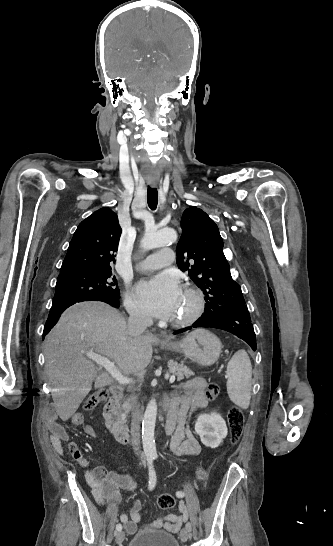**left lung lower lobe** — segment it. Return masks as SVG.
<instances>
[{"instance_id": "0a47b994", "label": "left lung lower lobe", "mask_w": 333, "mask_h": 546, "mask_svg": "<svg viewBox=\"0 0 333 546\" xmlns=\"http://www.w3.org/2000/svg\"><path fill=\"white\" fill-rule=\"evenodd\" d=\"M196 327H211L228 331L243 339L254 351L257 349L254 328L245 304L221 307L218 311L204 312L202 317L191 327L178 330L174 334Z\"/></svg>"}]
</instances>
